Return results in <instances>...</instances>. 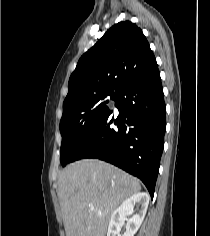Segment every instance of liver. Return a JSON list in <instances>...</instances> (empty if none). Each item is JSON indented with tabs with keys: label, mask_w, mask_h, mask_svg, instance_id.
Segmentation results:
<instances>
[{
	"label": "liver",
	"mask_w": 210,
	"mask_h": 236,
	"mask_svg": "<svg viewBox=\"0 0 210 236\" xmlns=\"http://www.w3.org/2000/svg\"><path fill=\"white\" fill-rule=\"evenodd\" d=\"M140 190L135 177L109 163L97 159L71 163L58 178L66 236H105L118 205Z\"/></svg>",
	"instance_id": "liver-1"
}]
</instances>
